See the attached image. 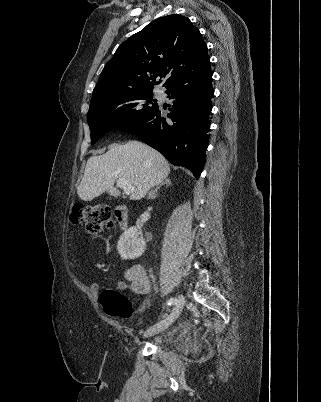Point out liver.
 Wrapping results in <instances>:
<instances>
[{"label": "liver", "instance_id": "1", "mask_svg": "<svg viewBox=\"0 0 321 402\" xmlns=\"http://www.w3.org/2000/svg\"><path fill=\"white\" fill-rule=\"evenodd\" d=\"M169 173V163L158 151L142 142L128 141L112 145L105 154L88 159L77 194L84 201H91L104 192L118 197L120 191L114 182L124 178L135 188L130 200H140Z\"/></svg>", "mask_w": 321, "mask_h": 402}]
</instances>
